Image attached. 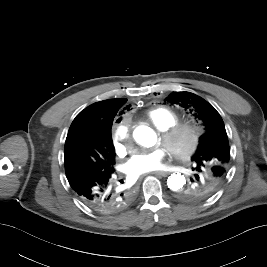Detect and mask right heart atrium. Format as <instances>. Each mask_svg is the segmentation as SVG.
<instances>
[{"label":"right heart atrium","mask_w":267,"mask_h":267,"mask_svg":"<svg viewBox=\"0 0 267 267\" xmlns=\"http://www.w3.org/2000/svg\"><path fill=\"white\" fill-rule=\"evenodd\" d=\"M130 127L126 121H121L115 128L113 143L116 153L123 155L130 147Z\"/></svg>","instance_id":"1"}]
</instances>
